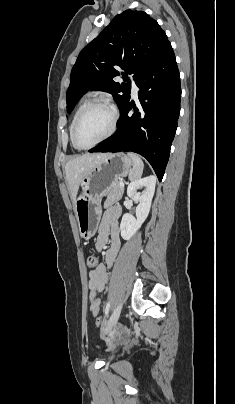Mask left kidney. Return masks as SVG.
I'll list each match as a JSON object with an SVG mask.
<instances>
[{
	"label": "left kidney",
	"instance_id": "obj_1",
	"mask_svg": "<svg viewBox=\"0 0 235 404\" xmlns=\"http://www.w3.org/2000/svg\"><path fill=\"white\" fill-rule=\"evenodd\" d=\"M156 177L153 175L132 181L127 188V196L135 202H139L136 208V218L126 213L123 215L120 230L124 240H130L146 220L155 192ZM144 188L142 193L137 190Z\"/></svg>",
	"mask_w": 235,
	"mask_h": 404
}]
</instances>
